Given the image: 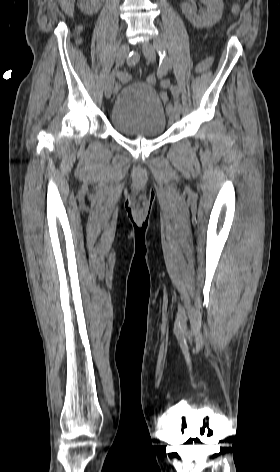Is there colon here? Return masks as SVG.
I'll return each mask as SVG.
<instances>
[{"label": "colon", "mask_w": 280, "mask_h": 472, "mask_svg": "<svg viewBox=\"0 0 280 472\" xmlns=\"http://www.w3.org/2000/svg\"><path fill=\"white\" fill-rule=\"evenodd\" d=\"M237 11H238V7L235 6V7H234V12H237ZM146 80H147V82H148L149 84H152V85H153V84H155V83L158 81V77H157V75H155V74H150V75H148V77H147Z\"/></svg>", "instance_id": "5ec220e1"}]
</instances>
